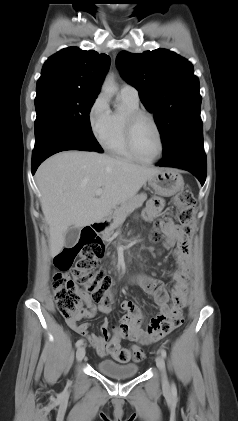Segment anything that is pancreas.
<instances>
[{
    "mask_svg": "<svg viewBox=\"0 0 238 421\" xmlns=\"http://www.w3.org/2000/svg\"><path fill=\"white\" fill-rule=\"evenodd\" d=\"M146 199L147 195L142 193L128 199L127 201L123 202L119 207H117L112 215L113 223L109 228H107L103 232V240L108 241L110 236L113 234L114 230L124 222V220L130 213H132L135 209L141 207Z\"/></svg>",
    "mask_w": 238,
    "mask_h": 421,
    "instance_id": "obj_1",
    "label": "pancreas"
}]
</instances>
